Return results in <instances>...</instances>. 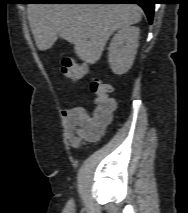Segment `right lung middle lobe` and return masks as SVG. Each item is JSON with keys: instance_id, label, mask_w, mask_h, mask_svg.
<instances>
[{"instance_id": "obj_1", "label": "right lung middle lobe", "mask_w": 188, "mask_h": 213, "mask_svg": "<svg viewBox=\"0 0 188 213\" xmlns=\"http://www.w3.org/2000/svg\"><path fill=\"white\" fill-rule=\"evenodd\" d=\"M45 0H31V2H44Z\"/></svg>"}]
</instances>
